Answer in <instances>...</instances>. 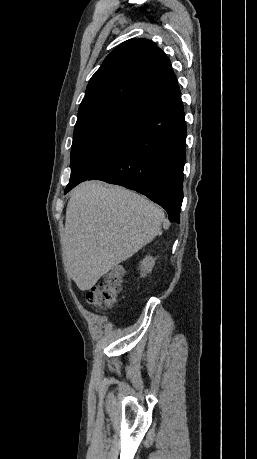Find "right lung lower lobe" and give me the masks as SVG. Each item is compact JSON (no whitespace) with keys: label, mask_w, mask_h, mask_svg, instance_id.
I'll return each mask as SVG.
<instances>
[{"label":"right lung lower lobe","mask_w":257,"mask_h":459,"mask_svg":"<svg viewBox=\"0 0 257 459\" xmlns=\"http://www.w3.org/2000/svg\"><path fill=\"white\" fill-rule=\"evenodd\" d=\"M179 86L137 110L65 189L99 179L142 193L180 223L186 123Z\"/></svg>","instance_id":"1"}]
</instances>
